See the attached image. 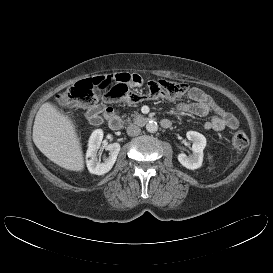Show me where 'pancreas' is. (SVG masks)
<instances>
[{"label": "pancreas", "instance_id": "obj_1", "mask_svg": "<svg viewBox=\"0 0 273 273\" xmlns=\"http://www.w3.org/2000/svg\"><path fill=\"white\" fill-rule=\"evenodd\" d=\"M132 116L135 117V118H140L141 117V115H139L138 113H135Z\"/></svg>", "mask_w": 273, "mask_h": 273}]
</instances>
